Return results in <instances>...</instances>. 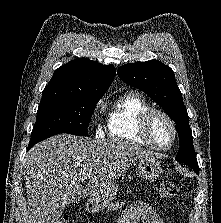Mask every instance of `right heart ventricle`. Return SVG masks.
Listing matches in <instances>:
<instances>
[{
  "instance_id": "1",
  "label": "right heart ventricle",
  "mask_w": 221,
  "mask_h": 223,
  "mask_svg": "<svg viewBox=\"0 0 221 223\" xmlns=\"http://www.w3.org/2000/svg\"><path fill=\"white\" fill-rule=\"evenodd\" d=\"M151 108V104L142 94L135 91L125 93L108 113L107 138L119 142L144 144L137 129L142 114Z\"/></svg>"
}]
</instances>
